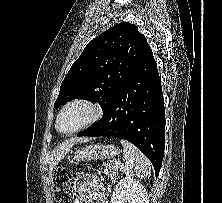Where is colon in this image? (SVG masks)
<instances>
[{"label": "colon", "instance_id": "colon-1", "mask_svg": "<svg viewBox=\"0 0 222 203\" xmlns=\"http://www.w3.org/2000/svg\"><path fill=\"white\" fill-rule=\"evenodd\" d=\"M72 176L68 169L59 167L53 177V189L56 203H73L71 198Z\"/></svg>", "mask_w": 222, "mask_h": 203}]
</instances>
